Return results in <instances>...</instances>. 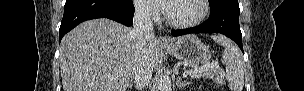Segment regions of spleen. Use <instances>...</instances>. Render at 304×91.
<instances>
[{"mask_svg":"<svg viewBox=\"0 0 304 91\" xmlns=\"http://www.w3.org/2000/svg\"><path fill=\"white\" fill-rule=\"evenodd\" d=\"M212 39L225 48L222 60L226 65V72H221L217 81L222 83L226 79L232 91H243L244 61L240 50L224 36L214 35Z\"/></svg>","mask_w":304,"mask_h":91,"instance_id":"spleen-1","label":"spleen"}]
</instances>
